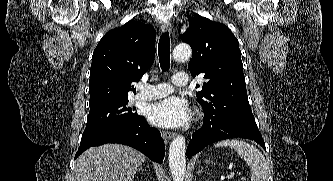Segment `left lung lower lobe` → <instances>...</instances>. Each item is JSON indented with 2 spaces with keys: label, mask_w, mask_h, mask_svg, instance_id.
Segmentation results:
<instances>
[{
  "label": "left lung lower lobe",
  "mask_w": 333,
  "mask_h": 181,
  "mask_svg": "<svg viewBox=\"0 0 333 181\" xmlns=\"http://www.w3.org/2000/svg\"><path fill=\"white\" fill-rule=\"evenodd\" d=\"M247 138L260 144L265 150L264 140L257 127L236 119L230 114L205 112L204 124L197 130L187 147V156L191 157L209 144L228 138Z\"/></svg>",
  "instance_id": "obj_1"
}]
</instances>
